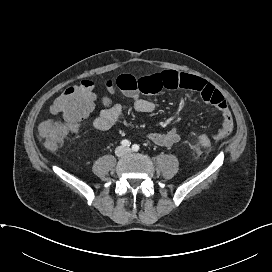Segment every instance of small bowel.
I'll list each match as a JSON object with an SVG mask.
<instances>
[{"mask_svg":"<svg viewBox=\"0 0 272 272\" xmlns=\"http://www.w3.org/2000/svg\"><path fill=\"white\" fill-rule=\"evenodd\" d=\"M115 86L132 100V105L137 112L151 113L155 110L152 101L144 99L141 94H155L164 89H187L197 93L207 104L214 106L222 115V123L215 137L222 139L227 137L233 129V119L228 104L223 95L210 83L202 78L179 73L173 70L162 71L150 75L135 77L124 73L115 80ZM122 106L116 102L105 104L94 118L93 126L101 131L110 129L122 117ZM148 139L161 147H171L181 139L177 127L167 132H151Z\"/></svg>","mask_w":272,"mask_h":272,"instance_id":"obj_1","label":"small bowel"}]
</instances>
